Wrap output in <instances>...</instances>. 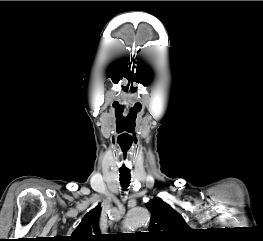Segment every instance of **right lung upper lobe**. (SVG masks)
<instances>
[{"mask_svg": "<svg viewBox=\"0 0 263 241\" xmlns=\"http://www.w3.org/2000/svg\"><path fill=\"white\" fill-rule=\"evenodd\" d=\"M101 205L98 204L90 210L82 219L76 230L69 237L70 241H106L109 237L100 234L99 217Z\"/></svg>", "mask_w": 263, "mask_h": 241, "instance_id": "right-lung-upper-lobe-1", "label": "right lung upper lobe"}]
</instances>
